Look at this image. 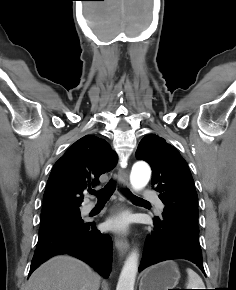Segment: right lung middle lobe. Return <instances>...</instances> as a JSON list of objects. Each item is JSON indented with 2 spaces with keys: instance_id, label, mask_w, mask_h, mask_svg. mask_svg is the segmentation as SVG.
<instances>
[{
  "instance_id": "obj_1",
  "label": "right lung middle lobe",
  "mask_w": 236,
  "mask_h": 290,
  "mask_svg": "<svg viewBox=\"0 0 236 290\" xmlns=\"http://www.w3.org/2000/svg\"><path fill=\"white\" fill-rule=\"evenodd\" d=\"M40 220L39 235L55 229L71 227L83 223L79 209L42 212Z\"/></svg>"
}]
</instances>
